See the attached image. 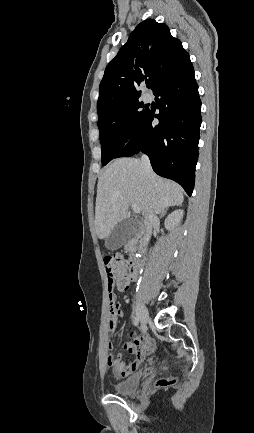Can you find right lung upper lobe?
I'll list each match as a JSON object with an SVG mask.
<instances>
[{
  "instance_id": "obj_1",
  "label": "right lung upper lobe",
  "mask_w": 254,
  "mask_h": 433,
  "mask_svg": "<svg viewBox=\"0 0 254 433\" xmlns=\"http://www.w3.org/2000/svg\"><path fill=\"white\" fill-rule=\"evenodd\" d=\"M188 58L166 24L153 19L141 22L105 69L99 86L98 113L138 100V87L144 82L152 84L154 94Z\"/></svg>"
}]
</instances>
